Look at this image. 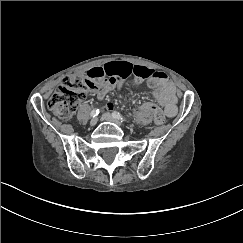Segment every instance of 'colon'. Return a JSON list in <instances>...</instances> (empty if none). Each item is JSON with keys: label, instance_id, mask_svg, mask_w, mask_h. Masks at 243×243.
Here are the masks:
<instances>
[{"label": "colon", "instance_id": "5ec220e1", "mask_svg": "<svg viewBox=\"0 0 243 243\" xmlns=\"http://www.w3.org/2000/svg\"><path fill=\"white\" fill-rule=\"evenodd\" d=\"M99 76V74L93 77L67 76L48 100V108L61 119L72 117L87 91L96 88L95 81L99 79ZM141 109L152 114L155 124L163 125L165 123L164 114L157 105L145 103Z\"/></svg>", "mask_w": 243, "mask_h": 243}]
</instances>
